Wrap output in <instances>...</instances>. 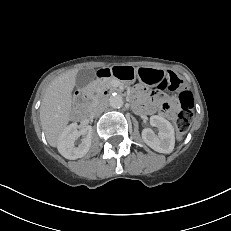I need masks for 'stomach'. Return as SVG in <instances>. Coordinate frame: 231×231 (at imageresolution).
Here are the masks:
<instances>
[{
  "mask_svg": "<svg viewBox=\"0 0 231 231\" xmlns=\"http://www.w3.org/2000/svg\"><path fill=\"white\" fill-rule=\"evenodd\" d=\"M113 73L127 82H133L136 77H140L147 84L157 83L163 76L162 70L135 68L130 65H116L112 69Z\"/></svg>",
  "mask_w": 231,
  "mask_h": 231,
  "instance_id": "0dacf381",
  "label": "stomach"
}]
</instances>
